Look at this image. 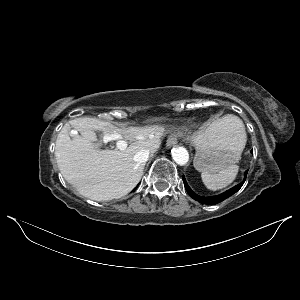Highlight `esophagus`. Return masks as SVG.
I'll return each mask as SVG.
<instances>
[{"label":"esophagus","instance_id":"34e87169","mask_svg":"<svg viewBox=\"0 0 300 300\" xmlns=\"http://www.w3.org/2000/svg\"><path fill=\"white\" fill-rule=\"evenodd\" d=\"M166 144L168 147L175 146L177 144L176 136H174V135L169 136Z\"/></svg>","mask_w":300,"mask_h":300}]
</instances>
